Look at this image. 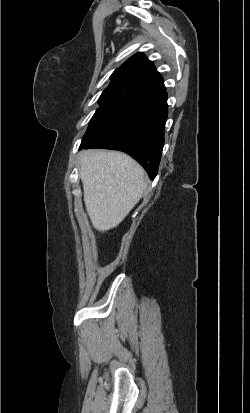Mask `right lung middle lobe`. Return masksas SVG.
Listing matches in <instances>:
<instances>
[{"instance_id": "right-lung-middle-lobe-1", "label": "right lung middle lobe", "mask_w": 250, "mask_h": 413, "mask_svg": "<svg viewBox=\"0 0 250 413\" xmlns=\"http://www.w3.org/2000/svg\"><path fill=\"white\" fill-rule=\"evenodd\" d=\"M137 97L132 92L105 90L99 98L100 107L91 118L80 146L87 145L105 132L118 119L130 101Z\"/></svg>"}]
</instances>
